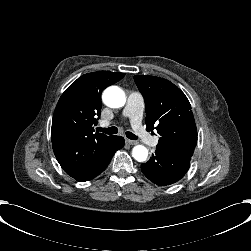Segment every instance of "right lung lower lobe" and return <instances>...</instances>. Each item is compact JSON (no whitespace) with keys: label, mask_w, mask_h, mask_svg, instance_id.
<instances>
[{"label":"right lung lower lobe","mask_w":251,"mask_h":251,"mask_svg":"<svg viewBox=\"0 0 251 251\" xmlns=\"http://www.w3.org/2000/svg\"><path fill=\"white\" fill-rule=\"evenodd\" d=\"M124 144H125V141L123 137L115 136L110 150L106 152V155L103 157V159L99 161L98 163H96L91 168H89L88 170H86L85 172L73 178L80 182H85V181L93 179L94 177H96L97 175H99L106 169L114 153L117 150L121 149L124 146Z\"/></svg>","instance_id":"right-lung-lower-lobe-1"}]
</instances>
